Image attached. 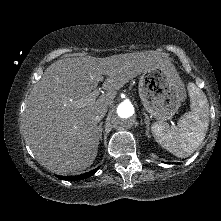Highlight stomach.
Listing matches in <instances>:
<instances>
[{
    "label": "stomach",
    "mask_w": 221,
    "mask_h": 221,
    "mask_svg": "<svg viewBox=\"0 0 221 221\" xmlns=\"http://www.w3.org/2000/svg\"><path fill=\"white\" fill-rule=\"evenodd\" d=\"M138 92L146 111L160 122L171 119L186 98L184 84L174 67L144 71Z\"/></svg>",
    "instance_id": "stomach-1"
}]
</instances>
